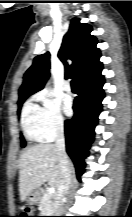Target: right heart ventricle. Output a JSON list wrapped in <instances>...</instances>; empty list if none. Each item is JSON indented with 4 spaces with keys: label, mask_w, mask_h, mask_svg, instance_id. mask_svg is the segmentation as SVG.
Listing matches in <instances>:
<instances>
[{
    "label": "right heart ventricle",
    "mask_w": 132,
    "mask_h": 217,
    "mask_svg": "<svg viewBox=\"0 0 132 217\" xmlns=\"http://www.w3.org/2000/svg\"><path fill=\"white\" fill-rule=\"evenodd\" d=\"M21 123L24 134L30 142L36 143L44 140L40 130V107L32 101L25 104Z\"/></svg>",
    "instance_id": "right-heart-ventricle-1"
}]
</instances>
